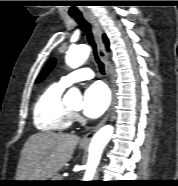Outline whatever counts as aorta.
Wrapping results in <instances>:
<instances>
[{
  "label": "aorta",
  "mask_w": 178,
  "mask_h": 186,
  "mask_svg": "<svg viewBox=\"0 0 178 186\" xmlns=\"http://www.w3.org/2000/svg\"><path fill=\"white\" fill-rule=\"evenodd\" d=\"M89 53L90 48L87 45H79L70 48L66 54V63L71 68H77L87 60ZM65 100L72 103H81L80 91L75 87L69 89L65 95ZM113 130L111 125H106L93 136L89 146L84 181H92L99 165L103 149L111 139Z\"/></svg>",
  "instance_id": "1"
}]
</instances>
